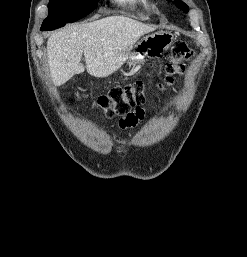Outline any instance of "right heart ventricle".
Masks as SVG:
<instances>
[{"mask_svg": "<svg viewBox=\"0 0 247 257\" xmlns=\"http://www.w3.org/2000/svg\"><path fill=\"white\" fill-rule=\"evenodd\" d=\"M113 1L121 6L128 7V8H137L138 6L148 3V0H113ZM144 18H147V17L144 16Z\"/></svg>", "mask_w": 247, "mask_h": 257, "instance_id": "obj_1", "label": "right heart ventricle"}]
</instances>
